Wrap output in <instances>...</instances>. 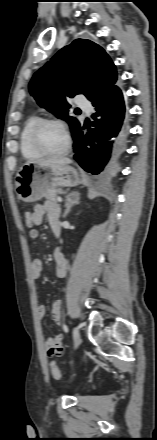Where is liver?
Returning <instances> with one entry per match:
<instances>
[{
    "mask_svg": "<svg viewBox=\"0 0 157 440\" xmlns=\"http://www.w3.org/2000/svg\"><path fill=\"white\" fill-rule=\"evenodd\" d=\"M36 163H43L48 167H53V166H61V165H68L72 162L71 159L66 158V157H61V158H52V159H40L35 161ZM32 163V162H28L27 164Z\"/></svg>",
    "mask_w": 157,
    "mask_h": 440,
    "instance_id": "obj_1",
    "label": "liver"
}]
</instances>
